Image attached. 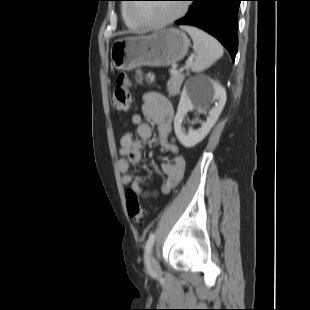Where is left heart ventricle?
<instances>
[{
  "label": "left heart ventricle",
  "mask_w": 310,
  "mask_h": 310,
  "mask_svg": "<svg viewBox=\"0 0 310 310\" xmlns=\"http://www.w3.org/2000/svg\"><path fill=\"white\" fill-rule=\"evenodd\" d=\"M179 9L180 5L178 4H138L132 7V14L145 21L161 22L174 16Z\"/></svg>",
  "instance_id": "obj_1"
}]
</instances>
